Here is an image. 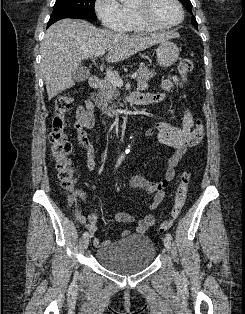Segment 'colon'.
Returning <instances> with one entry per match:
<instances>
[{
    "label": "colon",
    "mask_w": 245,
    "mask_h": 314,
    "mask_svg": "<svg viewBox=\"0 0 245 314\" xmlns=\"http://www.w3.org/2000/svg\"><path fill=\"white\" fill-rule=\"evenodd\" d=\"M192 68L193 62L191 59H183L178 64V72L184 80L187 79ZM73 105V97L69 94H62L56 98L55 115L52 121V130L49 134V142L51 155L55 162V168L58 172L61 186L66 191L70 192L73 196V201H76L74 169L69 158L72 151V144L65 132L66 114L72 109ZM189 180L190 172H183L176 192L172 216L159 225V231L161 233L170 229L174 220L179 216L185 204Z\"/></svg>",
    "instance_id": "obj_1"
}]
</instances>
